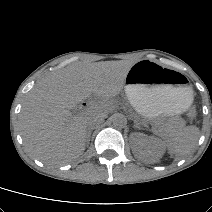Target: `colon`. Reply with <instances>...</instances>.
Here are the masks:
<instances>
[{
	"label": "colon",
	"instance_id": "colon-1",
	"mask_svg": "<svg viewBox=\"0 0 212 212\" xmlns=\"http://www.w3.org/2000/svg\"><path fill=\"white\" fill-rule=\"evenodd\" d=\"M195 114H196V111H195L194 108H192V109L189 111V117H190L191 119H193V118L195 117Z\"/></svg>",
	"mask_w": 212,
	"mask_h": 212
}]
</instances>
